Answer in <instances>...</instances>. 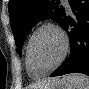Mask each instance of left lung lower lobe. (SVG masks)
<instances>
[{
	"label": "left lung lower lobe",
	"instance_id": "0a47b994",
	"mask_svg": "<svg viewBox=\"0 0 89 89\" xmlns=\"http://www.w3.org/2000/svg\"><path fill=\"white\" fill-rule=\"evenodd\" d=\"M74 19L66 17L63 27L73 26L69 34L70 55L64 63L51 74L61 76L68 73H84L89 75V0H69Z\"/></svg>",
	"mask_w": 89,
	"mask_h": 89
}]
</instances>
